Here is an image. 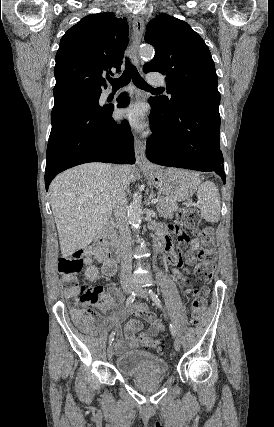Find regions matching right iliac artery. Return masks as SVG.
I'll return each instance as SVG.
<instances>
[{
  "label": "right iliac artery",
  "instance_id": "1",
  "mask_svg": "<svg viewBox=\"0 0 274 427\" xmlns=\"http://www.w3.org/2000/svg\"><path fill=\"white\" fill-rule=\"evenodd\" d=\"M136 295H137V290L133 291L129 295V297L127 298V301H126V306L130 305L135 300ZM114 336H115V331L113 330L109 336V345L112 344V342L114 340Z\"/></svg>",
  "mask_w": 274,
  "mask_h": 427
}]
</instances>
